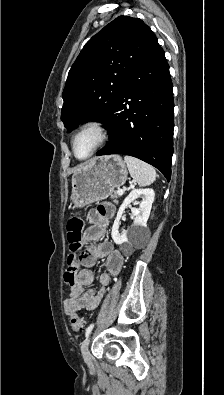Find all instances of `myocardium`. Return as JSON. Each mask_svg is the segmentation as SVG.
Here are the masks:
<instances>
[{"label":"myocardium","mask_w":224,"mask_h":395,"mask_svg":"<svg viewBox=\"0 0 224 395\" xmlns=\"http://www.w3.org/2000/svg\"><path fill=\"white\" fill-rule=\"evenodd\" d=\"M88 131H93L97 136V140L89 155H87L84 158H79L75 153V141L81 134ZM108 136H109V131L106 125L102 121L97 119H90L85 121L76 131L71 141V147L74 157L78 160H87L91 158L105 144V142L108 139Z\"/></svg>","instance_id":"f54148a6"}]
</instances>
